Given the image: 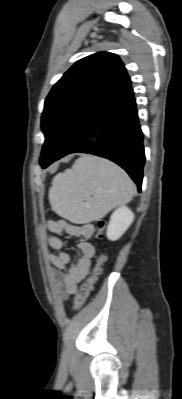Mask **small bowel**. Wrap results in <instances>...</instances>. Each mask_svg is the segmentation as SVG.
<instances>
[{
    "mask_svg": "<svg viewBox=\"0 0 182 399\" xmlns=\"http://www.w3.org/2000/svg\"><path fill=\"white\" fill-rule=\"evenodd\" d=\"M48 229V244L55 251L47 254L54 287L57 295L66 299L76 293L78 284L91 269L96 249L88 240L93 236L95 227L93 224L78 225L65 220H50ZM63 235L79 238L78 248L81 256L77 262H73L71 255L64 250L65 242L61 238Z\"/></svg>",
    "mask_w": 182,
    "mask_h": 399,
    "instance_id": "c3829d8e",
    "label": "small bowel"
}]
</instances>
